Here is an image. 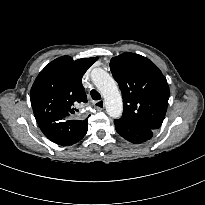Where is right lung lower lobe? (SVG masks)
<instances>
[{
  "label": "right lung lower lobe",
  "instance_id": "obj_1",
  "mask_svg": "<svg viewBox=\"0 0 205 205\" xmlns=\"http://www.w3.org/2000/svg\"><path fill=\"white\" fill-rule=\"evenodd\" d=\"M60 126L57 124L49 125L42 130V132L45 134V136L50 139L52 142L62 145V146H68L74 144L70 140H67L66 138L62 137L59 133ZM78 142V141H77Z\"/></svg>",
  "mask_w": 205,
  "mask_h": 205
}]
</instances>
